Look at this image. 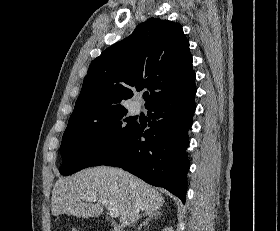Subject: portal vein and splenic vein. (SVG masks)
Segmentation results:
<instances>
[{"mask_svg": "<svg viewBox=\"0 0 280 231\" xmlns=\"http://www.w3.org/2000/svg\"><path fill=\"white\" fill-rule=\"evenodd\" d=\"M103 203H106L107 205V201H103ZM119 213L120 209H118V207H111L109 211V215H111V217H118Z\"/></svg>", "mask_w": 280, "mask_h": 231, "instance_id": "1", "label": "portal vein and splenic vein"}]
</instances>
